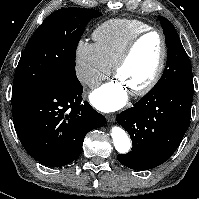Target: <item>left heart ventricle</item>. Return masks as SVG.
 Here are the masks:
<instances>
[{
  "mask_svg": "<svg viewBox=\"0 0 199 199\" xmlns=\"http://www.w3.org/2000/svg\"><path fill=\"white\" fill-rule=\"evenodd\" d=\"M161 55V42L156 34L144 37L119 69L117 78L127 90L139 88L153 75Z\"/></svg>",
  "mask_w": 199,
  "mask_h": 199,
  "instance_id": "obj_1",
  "label": "left heart ventricle"
}]
</instances>
